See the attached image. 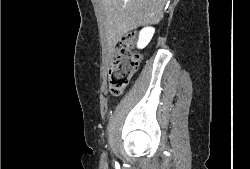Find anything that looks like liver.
I'll list each match as a JSON object with an SVG mask.
<instances>
[{"instance_id":"6515ba94","label":"liver","mask_w":250,"mask_h":169,"mask_svg":"<svg viewBox=\"0 0 250 169\" xmlns=\"http://www.w3.org/2000/svg\"><path fill=\"white\" fill-rule=\"evenodd\" d=\"M166 0H101L110 50L123 34L142 24H157L163 18Z\"/></svg>"}]
</instances>
